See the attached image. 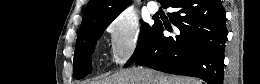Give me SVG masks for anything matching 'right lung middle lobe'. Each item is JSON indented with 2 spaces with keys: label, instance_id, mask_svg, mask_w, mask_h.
<instances>
[{
  "label": "right lung middle lobe",
  "instance_id": "dd1d6c3e",
  "mask_svg": "<svg viewBox=\"0 0 260 84\" xmlns=\"http://www.w3.org/2000/svg\"><path fill=\"white\" fill-rule=\"evenodd\" d=\"M111 22L112 20L95 22L77 38L73 66V75L75 78L81 79L91 72L90 56L92 50L96 41L101 37L103 31ZM156 27V23L152 26L145 22L142 23L136 50L125 67L134 63L148 50L152 43Z\"/></svg>",
  "mask_w": 260,
  "mask_h": 84
}]
</instances>
